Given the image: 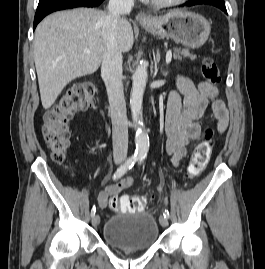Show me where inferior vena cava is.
I'll list each match as a JSON object with an SVG mask.
<instances>
[{"instance_id": "inferior-vena-cava-1", "label": "inferior vena cava", "mask_w": 265, "mask_h": 269, "mask_svg": "<svg viewBox=\"0 0 265 269\" xmlns=\"http://www.w3.org/2000/svg\"><path fill=\"white\" fill-rule=\"evenodd\" d=\"M133 5L134 0H110L103 26L104 50L101 76L110 105L113 157L118 161L125 160L128 151V122L122 86V53L117 40L118 23L122 15L130 13Z\"/></svg>"}]
</instances>
